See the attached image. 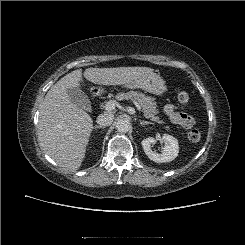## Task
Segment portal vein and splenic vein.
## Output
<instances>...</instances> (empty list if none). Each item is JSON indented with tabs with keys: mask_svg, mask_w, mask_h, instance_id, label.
Instances as JSON below:
<instances>
[{
	"mask_svg": "<svg viewBox=\"0 0 245 245\" xmlns=\"http://www.w3.org/2000/svg\"><path fill=\"white\" fill-rule=\"evenodd\" d=\"M133 103H134V105L136 106V108H137V110L139 111V112H141L142 110H141V106L139 105V103L138 102H136V101H133ZM115 103L113 102V101H108L106 104H105V110H107V111H112V110H114L115 109Z\"/></svg>",
	"mask_w": 245,
	"mask_h": 245,
	"instance_id": "18ae733b",
	"label": "portal vein and splenic vein"
}]
</instances>
